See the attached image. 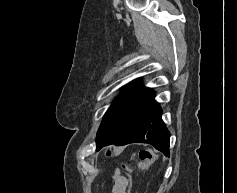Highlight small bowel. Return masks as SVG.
Segmentation results:
<instances>
[{
	"mask_svg": "<svg viewBox=\"0 0 237 193\" xmlns=\"http://www.w3.org/2000/svg\"><path fill=\"white\" fill-rule=\"evenodd\" d=\"M129 180L118 171L112 177L111 193H127Z\"/></svg>",
	"mask_w": 237,
	"mask_h": 193,
	"instance_id": "c3829d8e",
	"label": "small bowel"
}]
</instances>
